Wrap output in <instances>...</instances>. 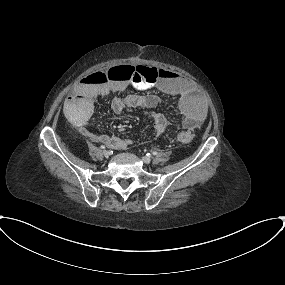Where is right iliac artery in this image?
I'll return each mask as SVG.
<instances>
[{"label": "right iliac artery", "mask_w": 285, "mask_h": 285, "mask_svg": "<svg viewBox=\"0 0 285 285\" xmlns=\"http://www.w3.org/2000/svg\"><path fill=\"white\" fill-rule=\"evenodd\" d=\"M100 149H105V146H104V145H101V146H100Z\"/></svg>", "instance_id": "right-iliac-artery-1"}]
</instances>
